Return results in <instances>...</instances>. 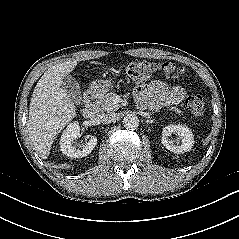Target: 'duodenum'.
Instances as JSON below:
<instances>
[{"label": "duodenum", "mask_w": 239, "mask_h": 239, "mask_svg": "<svg viewBox=\"0 0 239 239\" xmlns=\"http://www.w3.org/2000/svg\"><path fill=\"white\" fill-rule=\"evenodd\" d=\"M97 114V97L93 91H88L84 97L82 115L86 119H92Z\"/></svg>", "instance_id": "1"}]
</instances>
